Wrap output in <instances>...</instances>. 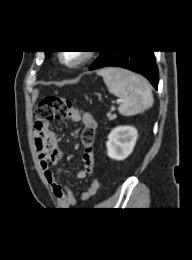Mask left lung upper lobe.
Segmentation results:
<instances>
[{"mask_svg":"<svg viewBox=\"0 0 192 260\" xmlns=\"http://www.w3.org/2000/svg\"><path fill=\"white\" fill-rule=\"evenodd\" d=\"M101 52V51H100ZM45 53H46V57H48L49 56V53H50V51H45Z\"/></svg>","mask_w":192,"mask_h":260,"instance_id":"1","label":"left lung upper lobe"}]
</instances>
